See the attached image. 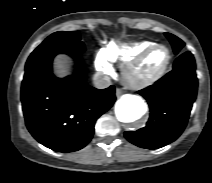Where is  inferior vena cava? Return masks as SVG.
<instances>
[{
	"label": "inferior vena cava",
	"mask_w": 212,
	"mask_h": 183,
	"mask_svg": "<svg viewBox=\"0 0 212 183\" xmlns=\"http://www.w3.org/2000/svg\"><path fill=\"white\" fill-rule=\"evenodd\" d=\"M93 84L98 89H104L111 85V80L109 76L97 72L93 77Z\"/></svg>",
	"instance_id": "602c4592"
}]
</instances>
